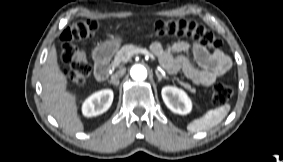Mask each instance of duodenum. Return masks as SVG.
<instances>
[{
  "instance_id": "duodenum-1",
  "label": "duodenum",
  "mask_w": 283,
  "mask_h": 162,
  "mask_svg": "<svg viewBox=\"0 0 283 162\" xmlns=\"http://www.w3.org/2000/svg\"><path fill=\"white\" fill-rule=\"evenodd\" d=\"M110 57H111V54L107 49H98L94 53L95 76L100 81L107 79V77L109 76Z\"/></svg>"
}]
</instances>
